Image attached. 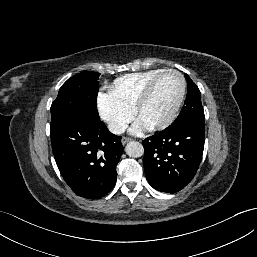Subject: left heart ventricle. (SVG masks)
Returning <instances> with one entry per match:
<instances>
[{"label":"left heart ventricle","instance_id":"obj_1","mask_svg":"<svg viewBox=\"0 0 257 257\" xmlns=\"http://www.w3.org/2000/svg\"><path fill=\"white\" fill-rule=\"evenodd\" d=\"M181 91V80L174 73L163 75L153 94L140 112L139 119L147 127L164 120L174 108Z\"/></svg>","mask_w":257,"mask_h":257}]
</instances>
